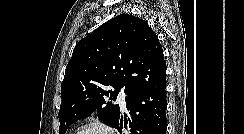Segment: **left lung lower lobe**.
I'll use <instances>...</instances> for the list:
<instances>
[{"label": "left lung lower lobe", "mask_w": 244, "mask_h": 134, "mask_svg": "<svg viewBox=\"0 0 244 134\" xmlns=\"http://www.w3.org/2000/svg\"><path fill=\"white\" fill-rule=\"evenodd\" d=\"M125 100L130 119H124V127H128L129 134H166V84L132 93ZM112 127L121 132L120 115Z\"/></svg>", "instance_id": "0a47b994"}]
</instances>
